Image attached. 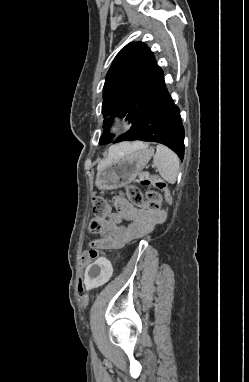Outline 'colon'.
Listing matches in <instances>:
<instances>
[{
  "instance_id": "1",
  "label": "colon",
  "mask_w": 249,
  "mask_h": 382,
  "mask_svg": "<svg viewBox=\"0 0 249 382\" xmlns=\"http://www.w3.org/2000/svg\"><path fill=\"white\" fill-rule=\"evenodd\" d=\"M143 183L146 185H154L158 190H163L166 186L164 181L160 179L155 181L145 179ZM158 190L148 189L144 196L136 186L130 185L125 188L124 195L133 206L153 210L159 208L162 201V195ZM92 206L96 216L103 217L109 212L108 203L102 197H94L92 199ZM99 255L100 252L97 249L90 248L88 251L84 252L82 260H95ZM79 290H82L80 286Z\"/></svg>"
}]
</instances>
